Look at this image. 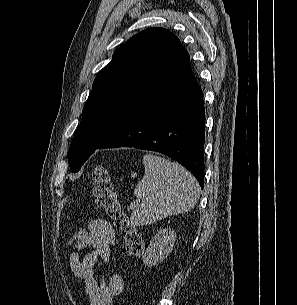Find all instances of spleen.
Masks as SVG:
<instances>
[{"label": "spleen", "mask_w": 297, "mask_h": 305, "mask_svg": "<svg viewBox=\"0 0 297 305\" xmlns=\"http://www.w3.org/2000/svg\"><path fill=\"white\" fill-rule=\"evenodd\" d=\"M145 174L134 194L141 199L130 218L133 226L152 224L191 210L199 198V185L185 168L165 158L143 156Z\"/></svg>", "instance_id": "3e777b00"}]
</instances>
